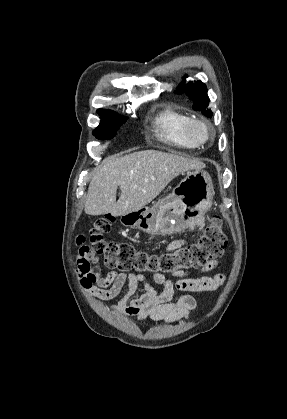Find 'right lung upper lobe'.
Returning a JSON list of instances; mask_svg holds the SVG:
<instances>
[{"label":"right lung upper lobe","mask_w":287,"mask_h":419,"mask_svg":"<svg viewBox=\"0 0 287 419\" xmlns=\"http://www.w3.org/2000/svg\"><path fill=\"white\" fill-rule=\"evenodd\" d=\"M97 112H98V114L113 113L112 111L104 110V109H99V110H97Z\"/></svg>","instance_id":"cb5924a9"}]
</instances>
